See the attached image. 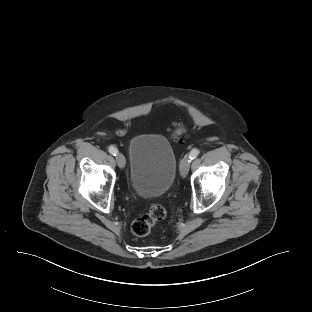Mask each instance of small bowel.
<instances>
[{
	"label": "small bowel",
	"mask_w": 312,
	"mask_h": 312,
	"mask_svg": "<svg viewBox=\"0 0 312 312\" xmlns=\"http://www.w3.org/2000/svg\"><path fill=\"white\" fill-rule=\"evenodd\" d=\"M115 132L118 135L122 136V135H124L126 133V129L125 128H118V129L115 130Z\"/></svg>",
	"instance_id": "small-bowel-1"
}]
</instances>
